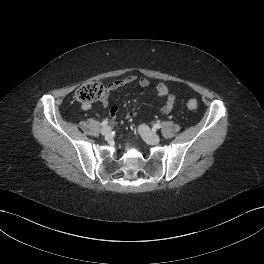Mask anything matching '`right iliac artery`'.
Wrapping results in <instances>:
<instances>
[{
	"mask_svg": "<svg viewBox=\"0 0 264 264\" xmlns=\"http://www.w3.org/2000/svg\"><path fill=\"white\" fill-rule=\"evenodd\" d=\"M107 124H108V120H104V121L101 123L102 126H106Z\"/></svg>",
	"mask_w": 264,
	"mask_h": 264,
	"instance_id": "obj_1",
	"label": "right iliac artery"
}]
</instances>
